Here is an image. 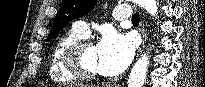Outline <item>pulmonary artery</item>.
<instances>
[{
  "mask_svg": "<svg viewBox=\"0 0 205 87\" xmlns=\"http://www.w3.org/2000/svg\"><path fill=\"white\" fill-rule=\"evenodd\" d=\"M132 16V9L130 5L124 4L117 6L110 14V19L112 21H119L128 19ZM73 29L77 31L82 36H87L90 32L89 26L84 21H76L73 25Z\"/></svg>",
  "mask_w": 205,
  "mask_h": 87,
  "instance_id": "obj_1",
  "label": "pulmonary artery"
}]
</instances>
